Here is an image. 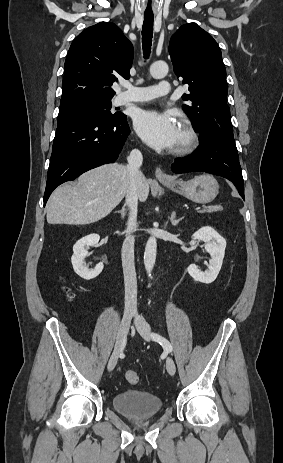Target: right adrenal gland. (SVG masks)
<instances>
[{"label":"right adrenal gland","mask_w":283,"mask_h":463,"mask_svg":"<svg viewBox=\"0 0 283 463\" xmlns=\"http://www.w3.org/2000/svg\"><path fill=\"white\" fill-rule=\"evenodd\" d=\"M116 213H120L121 214V218L124 219L125 216H126V208L125 206H123V208L119 211H116Z\"/></svg>","instance_id":"right-adrenal-gland-1"}]
</instances>
